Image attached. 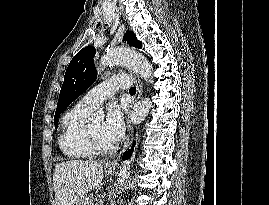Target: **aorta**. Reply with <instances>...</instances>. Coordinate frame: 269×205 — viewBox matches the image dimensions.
Segmentation results:
<instances>
[{"instance_id": "1", "label": "aorta", "mask_w": 269, "mask_h": 205, "mask_svg": "<svg viewBox=\"0 0 269 205\" xmlns=\"http://www.w3.org/2000/svg\"><path fill=\"white\" fill-rule=\"evenodd\" d=\"M101 64L104 66L123 64L131 68L135 73L139 74L145 80L151 81L153 78L152 65L149 63L146 57L134 50L126 48L109 50L102 56ZM151 106L152 102L148 98L136 103L130 114V121L133 124H140L148 115ZM129 167L130 163L128 161L123 162L118 173L119 186L124 185L126 179L128 178Z\"/></svg>"}]
</instances>
